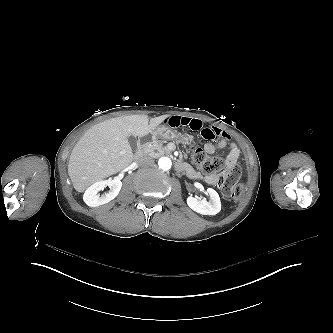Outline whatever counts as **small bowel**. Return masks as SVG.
Wrapping results in <instances>:
<instances>
[{
	"label": "small bowel",
	"mask_w": 333,
	"mask_h": 333,
	"mask_svg": "<svg viewBox=\"0 0 333 333\" xmlns=\"http://www.w3.org/2000/svg\"><path fill=\"white\" fill-rule=\"evenodd\" d=\"M165 125L172 128H187L193 131H197L201 134L203 138L207 140H213L219 138L220 140L215 143H208L204 146V150L208 154H213L217 150L222 149L229 145V153L226 157L225 163L227 168H231L232 166L236 165L241 151L238 145L235 143H229L230 137L229 135L224 132L222 129L209 126L208 124H204V122L193 116H185V115H173L164 120ZM183 166H188L195 174H197V178H200V174L195 171L190 165L182 164ZM205 182L209 185H215L218 183V176L217 175H207L204 178Z\"/></svg>",
	"instance_id": "obj_1"
}]
</instances>
